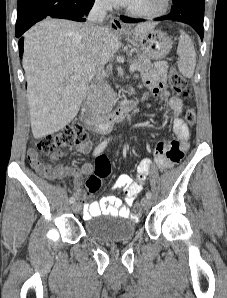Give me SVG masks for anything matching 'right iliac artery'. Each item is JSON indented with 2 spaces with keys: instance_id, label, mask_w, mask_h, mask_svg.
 I'll return each instance as SVG.
<instances>
[{
  "instance_id": "82829eb1",
  "label": "right iliac artery",
  "mask_w": 227,
  "mask_h": 298,
  "mask_svg": "<svg viewBox=\"0 0 227 298\" xmlns=\"http://www.w3.org/2000/svg\"><path fill=\"white\" fill-rule=\"evenodd\" d=\"M108 141L109 140H104L102 143H100L96 148H95V150H94V152H93V155L94 156H97V155H99L104 149H105V147L107 146V144H108ZM75 197H70V199H69V201H70V203H74L75 202Z\"/></svg>"
}]
</instances>
